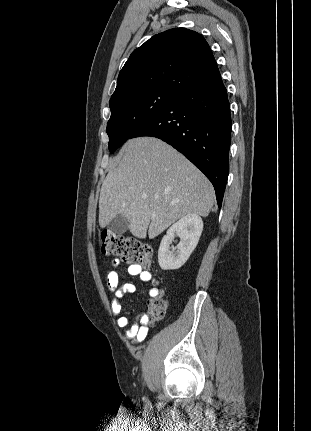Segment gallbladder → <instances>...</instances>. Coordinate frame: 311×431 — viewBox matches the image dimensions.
Returning a JSON list of instances; mask_svg holds the SVG:
<instances>
[{
    "instance_id": "obj_1",
    "label": "gallbladder",
    "mask_w": 311,
    "mask_h": 431,
    "mask_svg": "<svg viewBox=\"0 0 311 431\" xmlns=\"http://www.w3.org/2000/svg\"><path fill=\"white\" fill-rule=\"evenodd\" d=\"M107 227L111 229V231H114V233H119V235H121V233H125L128 229V219L122 216L113 217V219L109 221Z\"/></svg>"
}]
</instances>
